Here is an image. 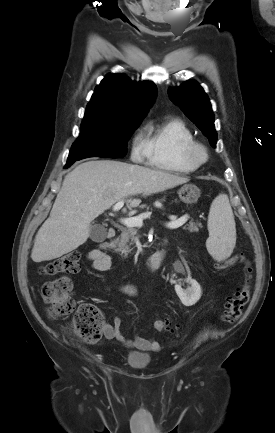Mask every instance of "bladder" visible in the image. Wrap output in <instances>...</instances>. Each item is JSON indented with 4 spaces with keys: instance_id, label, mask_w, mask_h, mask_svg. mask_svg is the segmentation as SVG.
I'll use <instances>...</instances> for the list:
<instances>
[{
    "instance_id": "1",
    "label": "bladder",
    "mask_w": 275,
    "mask_h": 433,
    "mask_svg": "<svg viewBox=\"0 0 275 433\" xmlns=\"http://www.w3.org/2000/svg\"><path fill=\"white\" fill-rule=\"evenodd\" d=\"M129 365L135 368H144L150 362V355L146 353L132 351L126 356Z\"/></svg>"
}]
</instances>
